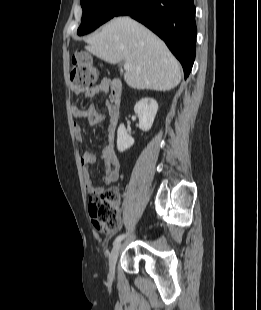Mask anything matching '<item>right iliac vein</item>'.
<instances>
[{
	"label": "right iliac vein",
	"mask_w": 261,
	"mask_h": 310,
	"mask_svg": "<svg viewBox=\"0 0 261 310\" xmlns=\"http://www.w3.org/2000/svg\"><path fill=\"white\" fill-rule=\"evenodd\" d=\"M121 243L118 242L115 244V246L113 247L110 256H109V271H110V276L113 277L114 276V272H115V265L118 259V256L120 254L121 251Z\"/></svg>",
	"instance_id": "63e3f726"
}]
</instances>
